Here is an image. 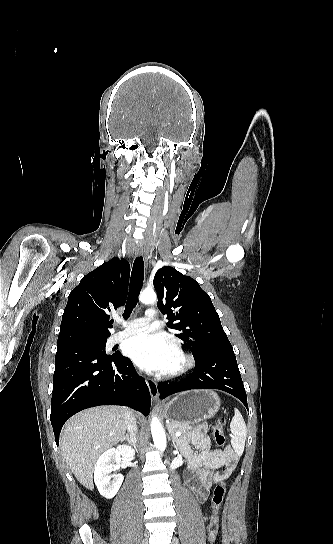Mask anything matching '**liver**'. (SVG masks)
Listing matches in <instances>:
<instances>
[{"mask_svg":"<svg viewBox=\"0 0 333 544\" xmlns=\"http://www.w3.org/2000/svg\"><path fill=\"white\" fill-rule=\"evenodd\" d=\"M124 409L102 406L72 417L61 434V453L77 480L93 490V471L100 454L123 441L126 432Z\"/></svg>","mask_w":333,"mask_h":544,"instance_id":"6515ba94","label":"liver"}]
</instances>
